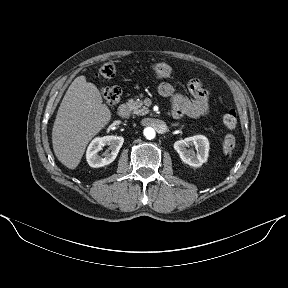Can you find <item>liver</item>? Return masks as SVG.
<instances>
[{
	"label": "liver",
	"mask_w": 288,
	"mask_h": 288,
	"mask_svg": "<svg viewBox=\"0 0 288 288\" xmlns=\"http://www.w3.org/2000/svg\"><path fill=\"white\" fill-rule=\"evenodd\" d=\"M98 88L78 76L59 106L52 129L53 150L67 168L75 169L91 139L111 120Z\"/></svg>",
	"instance_id": "6515ba94"
}]
</instances>
